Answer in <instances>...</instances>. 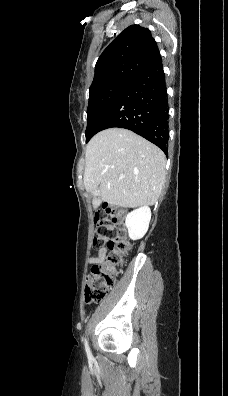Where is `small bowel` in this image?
Here are the masks:
<instances>
[{
    "instance_id": "obj_1",
    "label": "small bowel",
    "mask_w": 228,
    "mask_h": 396,
    "mask_svg": "<svg viewBox=\"0 0 228 396\" xmlns=\"http://www.w3.org/2000/svg\"><path fill=\"white\" fill-rule=\"evenodd\" d=\"M105 254H106V249L105 248H101L98 251V255L97 256L91 257L89 259V263L92 264V265L100 263L103 260V258L105 257Z\"/></svg>"
}]
</instances>
